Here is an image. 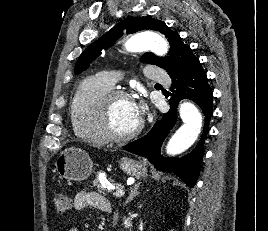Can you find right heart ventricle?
Instances as JSON below:
<instances>
[{
	"instance_id": "e07e8e85",
	"label": "right heart ventricle",
	"mask_w": 268,
	"mask_h": 231,
	"mask_svg": "<svg viewBox=\"0 0 268 231\" xmlns=\"http://www.w3.org/2000/svg\"><path fill=\"white\" fill-rule=\"evenodd\" d=\"M112 86L98 77L84 79L69 105L70 121L76 136L103 145L108 142L100 131L97 121L100 98Z\"/></svg>"
}]
</instances>
